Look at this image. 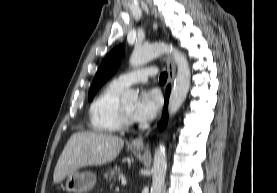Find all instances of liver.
I'll return each instance as SVG.
<instances>
[{
  "label": "liver",
  "instance_id": "1",
  "mask_svg": "<svg viewBox=\"0 0 277 193\" xmlns=\"http://www.w3.org/2000/svg\"><path fill=\"white\" fill-rule=\"evenodd\" d=\"M124 146L121 138L102 132H78L64 147L54 170L53 181L59 183L68 175L87 166L113 161Z\"/></svg>",
  "mask_w": 277,
  "mask_h": 193
}]
</instances>
